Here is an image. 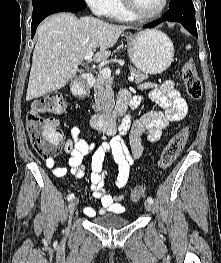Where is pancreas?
<instances>
[{"instance_id":"1","label":"pancreas","mask_w":221,"mask_h":263,"mask_svg":"<svg viewBox=\"0 0 221 263\" xmlns=\"http://www.w3.org/2000/svg\"><path fill=\"white\" fill-rule=\"evenodd\" d=\"M131 74L134 76L133 81L135 84H140L149 78L147 74H144L132 67ZM112 84L113 81L110 77L105 78L101 73L98 75L94 85L95 103L93 105V109L95 111L106 114L112 110L114 104V92Z\"/></svg>"}]
</instances>
